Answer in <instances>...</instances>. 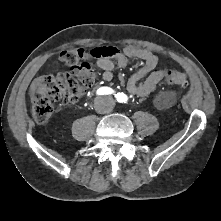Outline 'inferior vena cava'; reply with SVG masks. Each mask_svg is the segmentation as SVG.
Masks as SVG:
<instances>
[{
	"mask_svg": "<svg viewBox=\"0 0 221 221\" xmlns=\"http://www.w3.org/2000/svg\"><path fill=\"white\" fill-rule=\"evenodd\" d=\"M114 101L111 99H107V106L105 108H98V111L101 113L110 112L113 109Z\"/></svg>",
	"mask_w": 221,
	"mask_h": 221,
	"instance_id": "inferior-vena-cava-1",
	"label": "inferior vena cava"
}]
</instances>
